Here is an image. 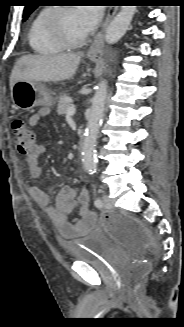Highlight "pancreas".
<instances>
[{"mask_svg": "<svg viewBox=\"0 0 184 327\" xmlns=\"http://www.w3.org/2000/svg\"><path fill=\"white\" fill-rule=\"evenodd\" d=\"M70 100L71 99L67 94H63L58 98L57 113L59 115L66 114L67 108L72 105Z\"/></svg>", "mask_w": 184, "mask_h": 327, "instance_id": "cf45deb5", "label": "pancreas"}]
</instances>
